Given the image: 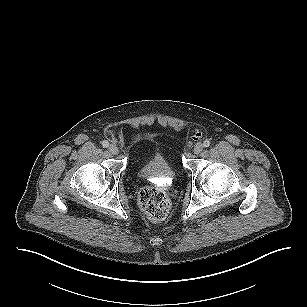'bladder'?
<instances>
[{
	"instance_id": "bladder-1",
	"label": "bladder",
	"mask_w": 307,
	"mask_h": 307,
	"mask_svg": "<svg viewBox=\"0 0 307 307\" xmlns=\"http://www.w3.org/2000/svg\"><path fill=\"white\" fill-rule=\"evenodd\" d=\"M137 175L141 179L151 180L173 178L175 173L166 158L160 153H155L138 166Z\"/></svg>"
}]
</instances>
